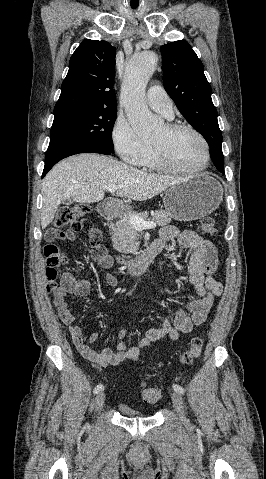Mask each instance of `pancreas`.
Segmentation results:
<instances>
[{"label":"pancreas","mask_w":266,"mask_h":479,"mask_svg":"<svg viewBox=\"0 0 266 479\" xmlns=\"http://www.w3.org/2000/svg\"><path fill=\"white\" fill-rule=\"evenodd\" d=\"M131 216H139L144 221L154 222L158 226H166L171 222V218L164 210L153 211L152 218H149L147 213H125L115 224H110L113 248L122 254H136L138 250V234L130 223Z\"/></svg>","instance_id":"1"}]
</instances>
